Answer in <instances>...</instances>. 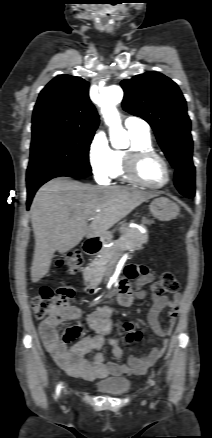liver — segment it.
Wrapping results in <instances>:
<instances>
[{"label": "liver", "instance_id": "liver-1", "mask_svg": "<svg viewBox=\"0 0 212 438\" xmlns=\"http://www.w3.org/2000/svg\"><path fill=\"white\" fill-rule=\"evenodd\" d=\"M156 196L136 188L93 186L63 177L44 184L30 209L35 238L32 282L48 273L55 251L66 253L85 236L106 234L136 207ZM90 217L94 220L88 226Z\"/></svg>", "mask_w": 212, "mask_h": 438}]
</instances>
